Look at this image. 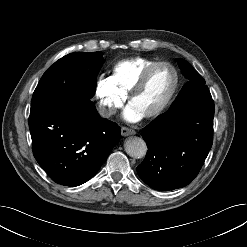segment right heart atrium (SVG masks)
Wrapping results in <instances>:
<instances>
[{
    "label": "right heart atrium",
    "instance_id": "right-heart-atrium-1",
    "mask_svg": "<svg viewBox=\"0 0 247 247\" xmlns=\"http://www.w3.org/2000/svg\"><path fill=\"white\" fill-rule=\"evenodd\" d=\"M94 94L98 104V111L104 118L111 117L125 102V97L112 86L107 77L101 76L97 79Z\"/></svg>",
    "mask_w": 247,
    "mask_h": 247
}]
</instances>
